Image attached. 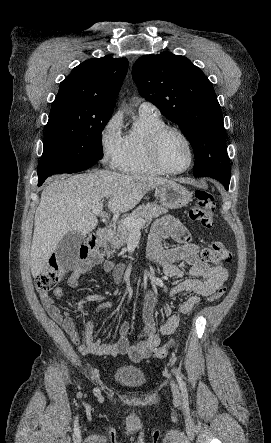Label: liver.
<instances>
[{
    "label": "liver",
    "instance_id": "1",
    "mask_svg": "<svg viewBox=\"0 0 271 443\" xmlns=\"http://www.w3.org/2000/svg\"><path fill=\"white\" fill-rule=\"evenodd\" d=\"M163 184H168L163 178L125 176L110 170L58 176L43 190L35 212L30 249L33 277L42 273L44 265L66 233L78 231L80 235H87L95 229L98 220L92 214L93 206L103 204L106 198L107 208L112 214L129 212L147 192Z\"/></svg>",
    "mask_w": 271,
    "mask_h": 443
}]
</instances>
